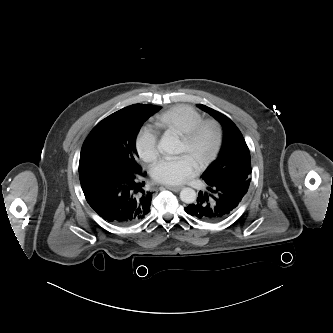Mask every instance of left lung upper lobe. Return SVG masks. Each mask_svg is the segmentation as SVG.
Here are the masks:
<instances>
[{
	"label": "left lung upper lobe",
	"mask_w": 333,
	"mask_h": 333,
	"mask_svg": "<svg viewBox=\"0 0 333 333\" xmlns=\"http://www.w3.org/2000/svg\"><path fill=\"white\" fill-rule=\"evenodd\" d=\"M217 119L224 128L219 155L202 174L214 182H239L250 184L251 160L247 144L236 125L225 115L205 105H197Z\"/></svg>",
	"instance_id": "obj_1"
}]
</instances>
